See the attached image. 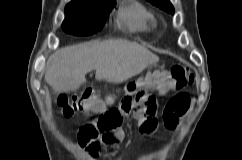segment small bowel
<instances>
[{"mask_svg": "<svg viewBox=\"0 0 242 160\" xmlns=\"http://www.w3.org/2000/svg\"><path fill=\"white\" fill-rule=\"evenodd\" d=\"M121 105H122V103H121ZM121 105L119 106L120 109H121ZM164 120H165V118H164ZM138 122H139L140 131L142 133H150V132L143 131V125H144L145 119L139 118ZM178 122H179V116L174 117L172 124H168L167 121L165 120L166 125L170 129H175L178 125ZM123 139H124V132L119 127L116 130L101 136L99 145L102 144V145H106V146H117L123 141ZM85 147L88 149V151L91 155H94L99 149V147H91L90 144L85 145Z\"/></svg>", "mask_w": 242, "mask_h": 160, "instance_id": "1", "label": "small bowel"}]
</instances>
